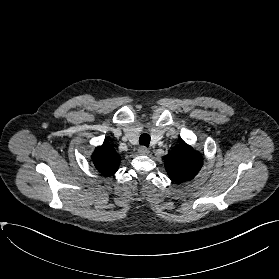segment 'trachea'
Wrapping results in <instances>:
<instances>
[{"mask_svg":"<svg viewBox=\"0 0 279 279\" xmlns=\"http://www.w3.org/2000/svg\"><path fill=\"white\" fill-rule=\"evenodd\" d=\"M150 139V135L144 133L139 137V144L148 147L150 144Z\"/></svg>","mask_w":279,"mask_h":279,"instance_id":"obj_1","label":"trachea"}]
</instances>
